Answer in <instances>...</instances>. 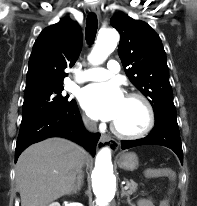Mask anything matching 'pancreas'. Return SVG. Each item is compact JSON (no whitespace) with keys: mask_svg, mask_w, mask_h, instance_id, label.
Masks as SVG:
<instances>
[{"mask_svg":"<svg viewBox=\"0 0 197 206\" xmlns=\"http://www.w3.org/2000/svg\"><path fill=\"white\" fill-rule=\"evenodd\" d=\"M126 185L128 186V190H127V193L129 195H132L133 193H135L137 191V183H135L134 181L130 180H126Z\"/></svg>","mask_w":197,"mask_h":206,"instance_id":"1","label":"pancreas"}]
</instances>
